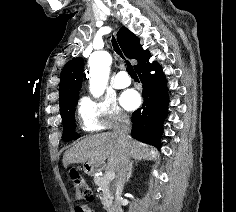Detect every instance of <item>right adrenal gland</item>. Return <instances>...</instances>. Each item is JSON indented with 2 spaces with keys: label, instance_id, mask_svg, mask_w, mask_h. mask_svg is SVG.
<instances>
[{
  "label": "right adrenal gland",
  "instance_id": "obj_1",
  "mask_svg": "<svg viewBox=\"0 0 236 212\" xmlns=\"http://www.w3.org/2000/svg\"><path fill=\"white\" fill-rule=\"evenodd\" d=\"M133 164H134V162H133V161H131V163H130V168H129V173H128V177H127V180H126V182H128V181H129V179H130V177H131V175H132V168H133Z\"/></svg>",
  "mask_w": 236,
  "mask_h": 212
}]
</instances>
